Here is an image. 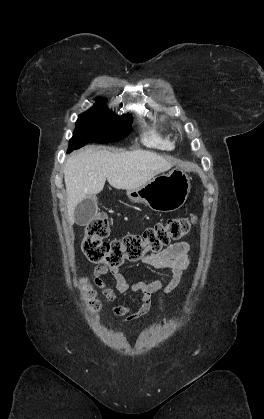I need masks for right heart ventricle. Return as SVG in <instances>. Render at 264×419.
<instances>
[{"instance_id": "1", "label": "right heart ventricle", "mask_w": 264, "mask_h": 419, "mask_svg": "<svg viewBox=\"0 0 264 419\" xmlns=\"http://www.w3.org/2000/svg\"><path fill=\"white\" fill-rule=\"evenodd\" d=\"M142 140L144 144L160 149L170 150L174 147V141L163 125L153 124L144 132Z\"/></svg>"}]
</instances>
